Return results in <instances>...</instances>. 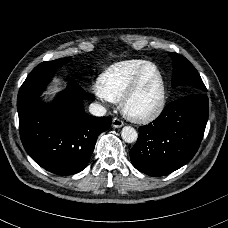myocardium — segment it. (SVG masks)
I'll list each match as a JSON object with an SVG mask.
<instances>
[{
  "instance_id": "f54148a6",
  "label": "myocardium",
  "mask_w": 228,
  "mask_h": 228,
  "mask_svg": "<svg viewBox=\"0 0 228 228\" xmlns=\"http://www.w3.org/2000/svg\"><path fill=\"white\" fill-rule=\"evenodd\" d=\"M150 68L155 69L158 72L160 77V81H161L160 102L155 109L147 112H140V111L134 110L131 106V103L134 100V98L137 96L139 89L141 87L142 81L147 71ZM166 104H167L166 80L161 68L154 63L147 65L146 67H144L139 71V73L134 78L132 84L130 85L128 91L125 93V95L120 101V107L123 114L130 120H133L139 123H149L157 119L165 110Z\"/></svg>"
}]
</instances>
